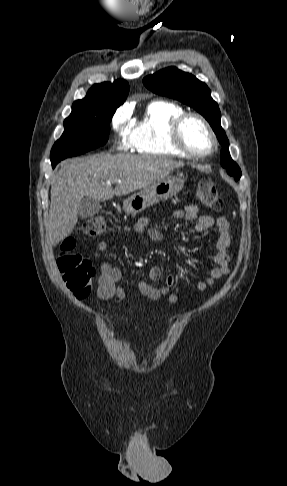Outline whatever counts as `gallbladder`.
Returning <instances> with one entry per match:
<instances>
[{"label":"gallbladder","mask_w":287,"mask_h":486,"mask_svg":"<svg viewBox=\"0 0 287 486\" xmlns=\"http://www.w3.org/2000/svg\"><path fill=\"white\" fill-rule=\"evenodd\" d=\"M100 209V201L86 196L79 203L78 216L82 219L90 218L98 214Z\"/></svg>","instance_id":"bac80fb5"}]
</instances>
